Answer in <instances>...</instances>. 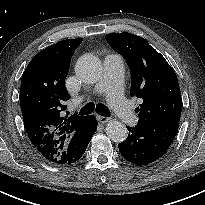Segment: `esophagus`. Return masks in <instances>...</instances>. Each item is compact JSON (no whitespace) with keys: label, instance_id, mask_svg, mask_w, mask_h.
Returning a JSON list of instances; mask_svg holds the SVG:
<instances>
[{"label":"esophagus","instance_id":"esophagus-1","mask_svg":"<svg viewBox=\"0 0 205 205\" xmlns=\"http://www.w3.org/2000/svg\"><path fill=\"white\" fill-rule=\"evenodd\" d=\"M97 118H98V121L102 124L108 123L110 121V118L102 116V115H98Z\"/></svg>","mask_w":205,"mask_h":205}]
</instances>
